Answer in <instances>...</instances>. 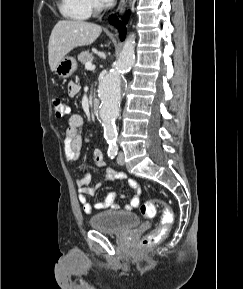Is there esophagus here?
Masks as SVG:
<instances>
[{
    "label": "esophagus",
    "instance_id": "34e87169",
    "mask_svg": "<svg viewBox=\"0 0 243 289\" xmlns=\"http://www.w3.org/2000/svg\"><path fill=\"white\" fill-rule=\"evenodd\" d=\"M130 4V0H120L119 6H118V12L124 13L125 7H127Z\"/></svg>",
    "mask_w": 243,
    "mask_h": 289
}]
</instances>
